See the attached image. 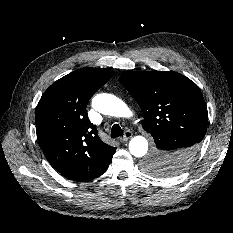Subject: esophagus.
<instances>
[{
    "label": "esophagus",
    "mask_w": 233,
    "mask_h": 233,
    "mask_svg": "<svg viewBox=\"0 0 233 233\" xmlns=\"http://www.w3.org/2000/svg\"><path fill=\"white\" fill-rule=\"evenodd\" d=\"M132 132L130 130H126L123 137L120 138V142H126L132 137Z\"/></svg>",
    "instance_id": "1"
}]
</instances>
